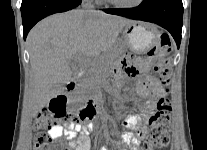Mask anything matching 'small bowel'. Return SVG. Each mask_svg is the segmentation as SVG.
I'll use <instances>...</instances> for the list:
<instances>
[{
    "label": "small bowel",
    "instance_id": "obj_1",
    "mask_svg": "<svg viewBox=\"0 0 207 150\" xmlns=\"http://www.w3.org/2000/svg\"><path fill=\"white\" fill-rule=\"evenodd\" d=\"M150 68V60L146 59L139 63L138 67L127 66L126 73L130 77H136L139 72H146ZM122 77L118 75L115 78V84L117 87L121 85ZM136 91L140 96L153 97L154 99L161 98L164 95L163 88L156 79L152 76L140 80L137 84ZM148 111H144L143 116H147ZM124 127L135 130L138 135H142L145 132V124L142 121V117L138 114L128 115L123 122ZM49 135L52 138H60L62 136L69 139L70 150H90L89 128L81 125L76 121H71L65 126L59 125L58 127L49 131ZM124 141L130 145L133 150L138 149L139 138L138 136L127 133L124 135ZM107 145H100V150H107Z\"/></svg>",
    "mask_w": 207,
    "mask_h": 150
}]
</instances>
